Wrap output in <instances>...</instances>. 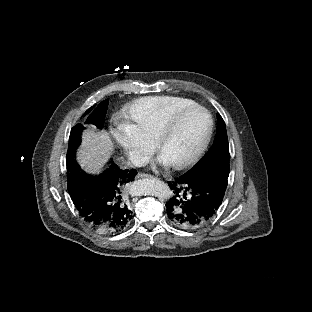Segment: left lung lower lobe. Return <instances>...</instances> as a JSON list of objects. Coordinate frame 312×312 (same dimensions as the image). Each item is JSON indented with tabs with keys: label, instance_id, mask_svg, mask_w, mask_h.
Wrapping results in <instances>:
<instances>
[{
	"label": "left lung lower lobe",
	"instance_id": "obj_1",
	"mask_svg": "<svg viewBox=\"0 0 312 312\" xmlns=\"http://www.w3.org/2000/svg\"><path fill=\"white\" fill-rule=\"evenodd\" d=\"M229 167L214 166L196 173H185L169 185L174 196L166 203L170 221L184 229L205 225L217 214L222 203Z\"/></svg>",
	"mask_w": 312,
	"mask_h": 312
}]
</instances>
